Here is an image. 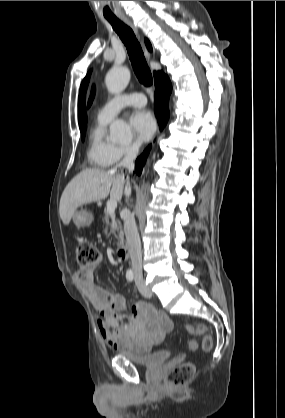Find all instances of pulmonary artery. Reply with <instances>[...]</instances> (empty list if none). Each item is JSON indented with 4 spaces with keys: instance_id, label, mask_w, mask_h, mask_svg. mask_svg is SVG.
Segmentation results:
<instances>
[{
    "instance_id": "e3ab8cb5",
    "label": "pulmonary artery",
    "mask_w": 285,
    "mask_h": 418,
    "mask_svg": "<svg viewBox=\"0 0 285 418\" xmlns=\"http://www.w3.org/2000/svg\"><path fill=\"white\" fill-rule=\"evenodd\" d=\"M146 103V97L140 93L116 96L98 110L97 118L103 121H110L123 108L127 106H144Z\"/></svg>"
}]
</instances>
